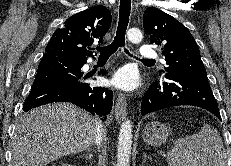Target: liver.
Listing matches in <instances>:
<instances>
[{
	"mask_svg": "<svg viewBox=\"0 0 231 166\" xmlns=\"http://www.w3.org/2000/svg\"><path fill=\"white\" fill-rule=\"evenodd\" d=\"M97 121L69 103L31 110L16 127L11 166H44L88 149L95 142Z\"/></svg>",
	"mask_w": 231,
	"mask_h": 166,
	"instance_id": "obj_1",
	"label": "liver"
}]
</instances>
